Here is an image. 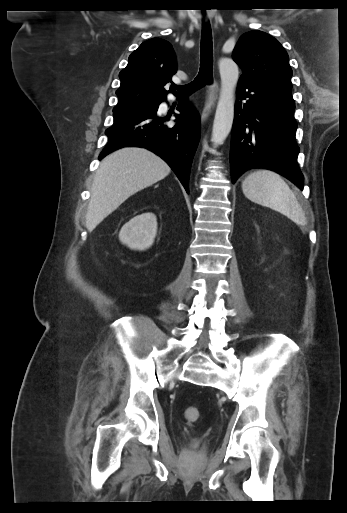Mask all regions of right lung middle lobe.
Segmentation results:
<instances>
[{
  "instance_id": "dd1d6c3e",
  "label": "right lung middle lobe",
  "mask_w": 347,
  "mask_h": 513,
  "mask_svg": "<svg viewBox=\"0 0 347 513\" xmlns=\"http://www.w3.org/2000/svg\"><path fill=\"white\" fill-rule=\"evenodd\" d=\"M158 102L157 101H146L142 102L136 105H129V106H116L113 109L114 115L133 112V111H139V110H145L153 108Z\"/></svg>"
}]
</instances>
